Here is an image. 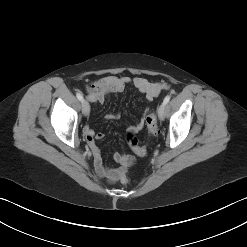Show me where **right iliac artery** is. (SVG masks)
<instances>
[{
    "instance_id": "82829eb1",
    "label": "right iliac artery",
    "mask_w": 247,
    "mask_h": 247,
    "mask_svg": "<svg viewBox=\"0 0 247 247\" xmlns=\"http://www.w3.org/2000/svg\"><path fill=\"white\" fill-rule=\"evenodd\" d=\"M76 96H77V98H78L79 101H83V96H82L81 93H77Z\"/></svg>"
}]
</instances>
